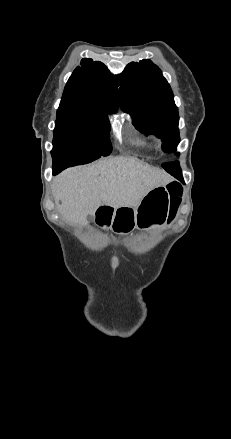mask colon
Segmentation results:
<instances>
[{
  "instance_id": "5ec220e1",
  "label": "colon",
  "mask_w": 231,
  "mask_h": 439,
  "mask_svg": "<svg viewBox=\"0 0 231 439\" xmlns=\"http://www.w3.org/2000/svg\"><path fill=\"white\" fill-rule=\"evenodd\" d=\"M167 191L169 193V196H170L171 200L174 203H177V202L180 201L181 195H182V188L178 184L170 183L167 186Z\"/></svg>"
}]
</instances>
